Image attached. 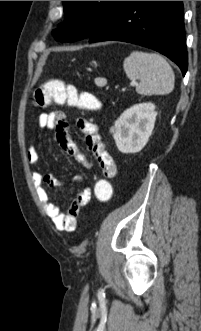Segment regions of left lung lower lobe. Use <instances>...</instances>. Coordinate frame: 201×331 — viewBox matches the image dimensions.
Returning <instances> with one entry per match:
<instances>
[{
  "label": "left lung lower lobe",
  "mask_w": 201,
  "mask_h": 331,
  "mask_svg": "<svg viewBox=\"0 0 201 331\" xmlns=\"http://www.w3.org/2000/svg\"><path fill=\"white\" fill-rule=\"evenodd\" d=\"M182 1H120L89 42L124 41L156 50L185 75L188 56Z\"/></svg>",
  "instance_id": "obj_1"
}]
</instances>
